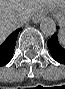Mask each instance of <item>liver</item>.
Here are the masks:
<instances>
[{
    "label": "liver",
    "mask_w": 65,
    "mask_h": 89,
    "mask_svg": "<svg viewBox=\"0 0 65 89\" xmlns=\"http://www.w3.org/2000/svg\"><path fill=\"white\" fill-rule=\"evenodd\" d=\"M61 0H0V37L4 39L18 27L21 18H32L36 13L51 7H63Z\"/></svg>",
    "instance_id": "liver-1"
}]
</instances>
